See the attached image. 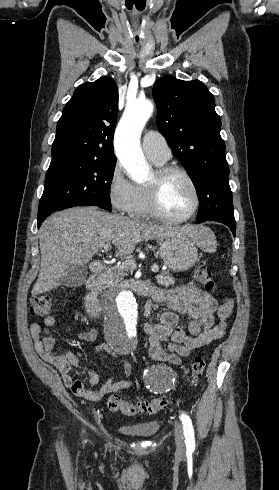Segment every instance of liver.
<instances>
[{
    "label": "liver",
    "mask_w": 279,
    "mask_h": 490,
    "mask_svg": "<svg viewBox=\"0 0 279 490\" xmlns=\"http://www.w3.org/2000/svg\"><path fill=\"white\" fill-rule=\"evenodd\" d=\"M204 226L168 228L154 226L125 216L100 212L95 206L55 212L39 230L41 264L33 298L58 288L70 266H85L101 248L113 242L117 256L133 254L142 240H164L168 234H181L200 244Z\"/></svg>",
    "instance_id": "obj_1"
}]
</instances>
